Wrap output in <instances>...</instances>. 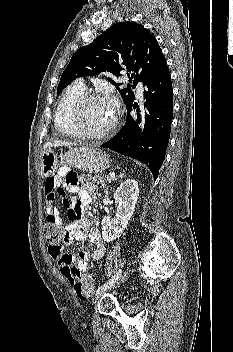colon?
Returning <instances> with one entry per match:
<instances>
[{
    "label": "colon",
    "instance_id": "5ec220e1",
    "mask_svg": "<svg viewBox=\"0 0 233 352\" xmlns=\"http://www.w3.org/2000/svg\"><path fill=\"white\" fill-rule=\"evenodd\" d=\"M43 231L45 238L52 245L64 246L66 244L65 234L61 228L46 222ZM92 281L93 277L91 275L80 276L74 285L75 294L79 299L85 300L91 295Z\"/></svg>",
    "mask_w": 233,
    "mask_h": 352
}]
</instances>
